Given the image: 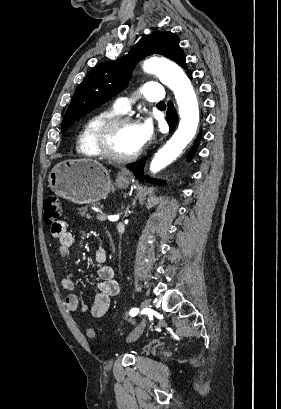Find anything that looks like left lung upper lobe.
<instances>
[{
	"mask_svg": "<svg viewBox=\"0 0 281 409\" xmlns=\"http://www.w3.org/2000/svg\"><path fill=\"white\" fill-rule=\"evenodd\" d=\"M152 54L166 56L185 68V55L174 33L162 31L142 38L128 54L115 61L100 63L91 70L75 90L63 118L62 132L123 90L137 62Z\"/></svg>",
	"mask_w": 281,
	"mask_h": 409,
	"instance_id": "obj_1",
	"label": "left lung upper lobe"
}]
</instances>
